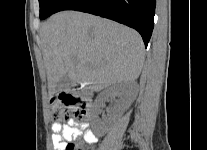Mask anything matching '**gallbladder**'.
I'll return each instance as SVG.
<instances>
[{
	"mask_svg": "<svg viewBox=\"0 0 207 150\" xmlns=\"http://www.w3.org/2000/svg\"><path fill=\"white\" fill-rule=\"evenodd\" d=\"M69 84H70L69 77L67 74H65L58 81L57 86H56V90L57 91L65 90L69 87Z\"/></svg>",
	"mask_w": 207,
	"mask_h": 150,
	"instance_id": "obj_1",
	"label": "gallbladder"
}]
</instances>
